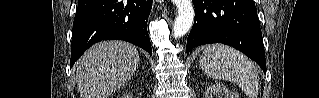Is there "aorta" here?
<instances>
[{"label":"aorta","instance_id":"aorta-1","mask_svg":"<svg viewBox=\"0 0 319 98\" xmlns=\"http://www.w3.org/2000/svg\"><path fill=\"white\" fill-rule=\"evenodd\" d=\"M178 9V15L173 26V36L180 38L191 28L194 20V8L191 0H173Z\"/></svg>","mask_w":319,"mask_h":98}]
</instances>
